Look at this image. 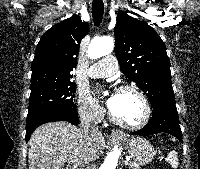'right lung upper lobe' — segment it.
<instances>
[{"label":"right lung upper lobe","mask_w":200,"mask_h":169,"mask_svg":"<svg viewBox=\"0 0 200 169\" xmlns=\"http://www.w3.org/2000/svg\"><path fill=\"white\" fill-rule=\"evenodd\" d=\"M89 31L78 15L63 20L44 33L32 62L31 88L47 82L70 80L77 65L81 40Z\"/></svg>","instance_id":"cb5924a9"}]
</instances>
